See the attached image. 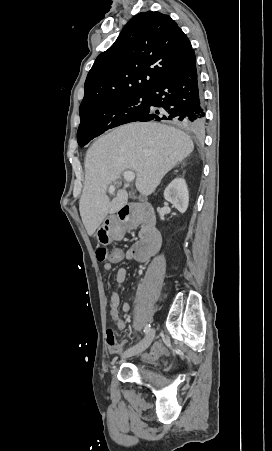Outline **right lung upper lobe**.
<instances>
[{
    "mask_svg": "<svg viewBox=\"0 0 272 451\" xmlns=\"http://www.w3.org/2000/svg\"><path fill=\"white\" fill-rule=\"evenodd\" d=\"M194 50L170 16L147 11L131 18L89 71L80 113L109 100L148 94Z\"/></svg>",
    "mask_w": 272,
    "mask_h": 451,
    "instance_id": "1",
    "label": "right lung upper lobe"
}]
</instances>
